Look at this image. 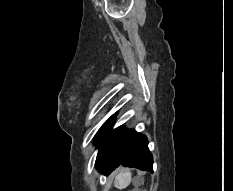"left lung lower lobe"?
Returning <instances> with one entry per match:
<instances>
[{"mask_svg": "<svg viewBox=\"0 0 233 191\" xmlns=\"http://www.w3.org/2000/svg\"><path fill=\"white\" fill-rule=\"evenodd\" d=\"M111 123L96 141L99 148L96 167L99 172L108 175L119 164L153 172V157L147 138L136 131L126 130L124 126L111 130Z\"/></svg>", "mask_w": 233, "mask_h": 191, "instance_id": "1", "label": "left lung lower lobe"}]
</instances>
